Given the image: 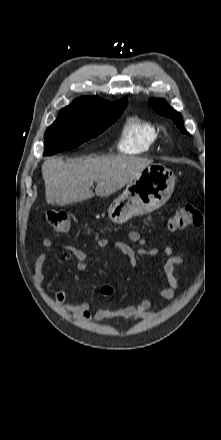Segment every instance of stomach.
<instances>
[{"instance_id":"obj_1","label":"stomach","mask_w":221,"mask_h":440,"mask_svg":"<svg viewBox=\"0 0 221 440\" xmlns=\"http://www.w3.org/2000/svg\"><path fill=\"white\" fill-rule=\"evenodd\" d=\"M173 172L162 165H150L130 180L108 209L110 220L122 224L133 216L144 215L161 207L175 187Z\"/></svg>"}]
</instances>
